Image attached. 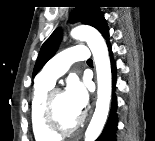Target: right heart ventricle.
Segmentation results:
<instances>
[{
  "label": "right heart ventricle",
  "mask_w": 155,
  "mask_h": 141,
  "mask_svg": "<svg viewBox=\"0 0 155 141\" xmlns=\"http://www.w3.org/2000/svg\"><path fill=\"white\" fill-rule=\"evenodd\" d=\"M52 87L53 84L51 83L38 81L33 91L30 120L32 131L37 141H54L59 137V135L50 132L46 128L42 118L44 97Z\"/></svg>",
  "instance_id": "obj_1"
}]
</instances>
